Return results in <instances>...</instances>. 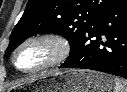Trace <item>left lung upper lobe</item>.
I'll use <instances>...</instances> for the list:
<instances>
[{
	"instance_id": "obj_1",
	"label": "left lung upper lobe",
	"mask_w": 127,
	"mask_h": 92,
	"mask_svg": "<svg viewBox=\"0 0 127 92\" xmlns=\"http://www.w3.org/2000/svg\"><path fill=\"white\" fill-rule=\"evenodd\" d=\"M122 0H29L13 29L5 56L28 37L56 33L69 40L71 49L106 12Z\"/></svg>"
}]
</instances>
